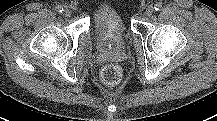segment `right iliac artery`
Wrapping results in <instances>:
<instances>
[{"instance_id":"right-iliac-artery-1","label":"right iliac artery","mask_w":217,"mask_h":121,"mask_svg":"<svg viewBox=\"0 0 217 121\" xmlns=\"http://www.w3.org/2000/svg\"><path fill=\"white\" fill-rule=\"evenodd\" d=\"M63 10H64V9H63V6H61V5H57V6H56V11H57V12L62 13Z\"/></svg>"}]
</instances>
